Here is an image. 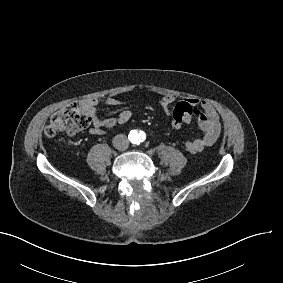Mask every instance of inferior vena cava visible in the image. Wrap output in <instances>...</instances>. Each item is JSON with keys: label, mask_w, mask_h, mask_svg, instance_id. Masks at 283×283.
Masks as SVG:
<instances>
[{"label": "inferior vena cava", "mask_w": 283, "mask_h": 283, "mask_svg": "<svg viewBox=\"0 0 283 283\" xmlns=\"http://www.w3.org/2000/svg\"><path fill=\"white\" fill-rule=\"evenodd\" d=\"M113 146L115 149L124 151L129 148V141L126 135L118 134L113 138Z\"/></svg>", "instance_id": "1"}]
</instances>
